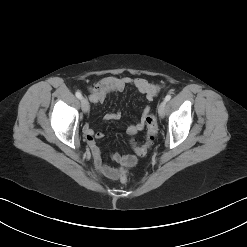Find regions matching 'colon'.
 <instances>
[{
  "label": "colon",
  "mask_w": 247,
  "mask_h": 247,
  "mask_svg": "<svg viewBox=\"0 0 247 247\" xmlns=\"http://www.w3.org/2000/svg\"><path fill=\"white\" fill-rule=\"evenodd\" d=\"M145 124L147 130L145 142L142 145L138 146L136 144V141L134 139H131V144L133 146V149L135 153L139 156H144L145 154H147L158 132V125L154 115L151 114L147 115L145 118ZM116 171L120 181L123 183L127 182L128 165L121 164Z\"/></svg>",
  "instance_id": "colon-1"
}]
</instances>
